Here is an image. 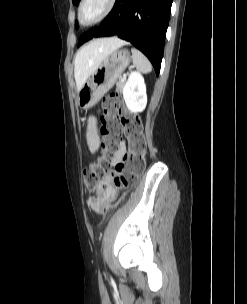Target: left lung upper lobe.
Returning a JSON list of instances; mask_svg holds the SVG:
<instances>
[{"label":"left lung upper lobe","mask_w":247,"mask_h":304,"mask_svg":"<svg viewBox=\"0 0 247 304\" xmlns=\"http://www.w3.org/2000/svg\"><path fill=\"white\" fill-rule=\"evenodd\" d=\"M73 4H77L80 0H72Z\"/></svg>","instance_id":"5c2ea615"}]
</instances>
